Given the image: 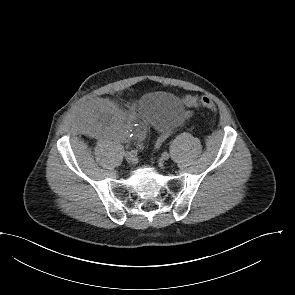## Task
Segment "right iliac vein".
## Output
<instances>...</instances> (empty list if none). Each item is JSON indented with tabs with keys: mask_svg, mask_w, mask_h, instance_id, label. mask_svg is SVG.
I'll list each match as a JSON object with an SVG mask.
<instances>
[{
	"mask_svg": "<svg viewBox=\"0 0 295 295\" xmlns=\"http://www.w3.org/2000/svg\"><path fill=\"white\" fill-rule=\"evenodd\" d=\"M125 158L128 163H135L136 161L135 156L131 155L129 152L125 153Z\"/></svg>",
	"mask_w": 295,
	"mask_h": 295,
	"instance_id": "63e3f726",
	"label": "right iliac vein"
}]
</instances>
